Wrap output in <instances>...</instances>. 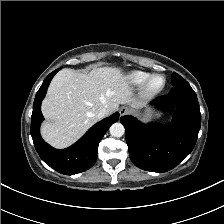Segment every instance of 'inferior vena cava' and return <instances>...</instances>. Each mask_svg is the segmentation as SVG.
I'll return each instance as SVG.
<instances>
[{"mask_svg": "<svg viewBox=\"0 0 224 224\" xmlns=\"http://www.w3.org/2000/svg\"><path fill=\"white\" fill-rule=\"evenodd\" d=\"M108 112L105 108H102L98 113H97V117L98 119H102L105 116H107Z\"/></svg>", "mask_w": 224, "mask_h": 224, "instance_id": "602c4592", "label": "inferior vena cava"}]
</instances>
